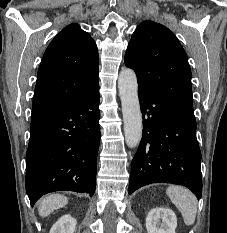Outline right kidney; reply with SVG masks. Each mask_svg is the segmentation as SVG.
Here are the masks:
<instances>
[{
    "instance_id": "1",
    "label": "right kidney",
    "mask_w": 227,
    "mask_h": 233,
    "mask_svg": "<svg viewBox=\"0 0 227 233\" xmlns=\"http://www.w3.org/2000/svg\"><path fill=\"white\" fill-rule=\"evenodd\" d=\"M76 224V219L65 214L52 226L50 233H74Z\"/></svg>"
}]
</instances>
